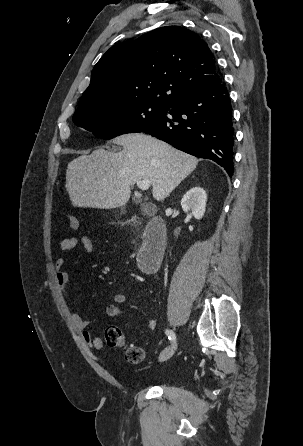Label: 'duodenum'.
Returning <instances> with one entry per match:
<instances>
[{
  "label": "duodenum",
  "mask_w": 303,
  "mask_h": 446,
  "mask_svg": "<svg viewBox=\"0 0 303 446\" xmlns=\"http://www.w3.org/2000/svg\"><path fill=\"white\" fill-rule=\"evenodd\" d=\"M166 245V227L159 216H153L144 228L143 239L137 255L138 267L154 272L160 265Z\"/></svg>",
  "instance_id": "410a0bca"
}]
</instances>
